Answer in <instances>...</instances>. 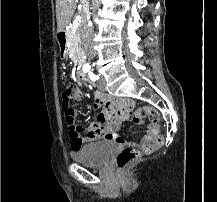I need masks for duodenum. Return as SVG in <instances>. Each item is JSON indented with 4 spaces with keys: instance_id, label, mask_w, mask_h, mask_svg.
<instances>
[{
    "instance_id": "obj_1",
    "label": "duodenum",
    "mask_w": 217,
    "mask_h": 202,
    "mask_svg": "<svg viewBox=\"0 0 217 202\" xmlns=\"http://www.w3.org/2000/svg\"><path fill=\"white\" fill-rule=\"evenodd\" d=\"M67 32L66 30H61L58 32L57 34V42L59 45V51H60V57L61 58H66L67 56ZM78 78L84 82L87 83L91 86H94L95 83L93 82V80L91 79V77H89L83 70L78 71Z\"/></svg>"
}]
</instances>
